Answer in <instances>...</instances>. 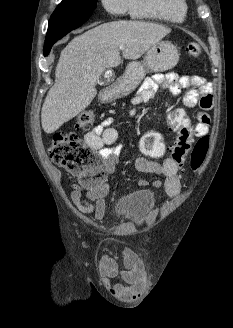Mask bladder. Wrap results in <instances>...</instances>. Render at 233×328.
<instances>
[{
    "mask_svg": "<svg viewBox=\"0 0 233 328\" xmlns=\"http://www.w3.org/2000/svg\"><path fill=\"white\" fill-rule=\"evenodd\" d=\"M156 206V197L149 190H134L125 195L119 203V214L134 222L144 220Z\"/></svg>",
    "mask_w": 233,
    "mask_h": 328,
    "instance_id": "obj_1",
    "label": "bladder"
}]
</instances>
